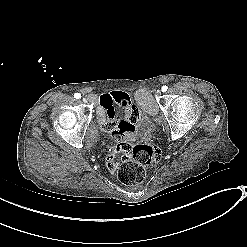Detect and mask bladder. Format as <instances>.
<instances>
[{
	"label": "bladder",
	"mask_w": 247,
	"mask_h": 247,
	"mask_svg": "<svg viewBox=\"0 0 247 247\" xmlns=\"http://www.w3.org/2000/svg\"><path fill=\"white\" fill-rule=\"evenodd\" d=\"M124 110L127 115V122L119 121L118 124L129 127L133 133V138H147L156 130V124L154 122L155 113L144 102L141 94L135 93L132 101L127 104ZM138 112L139 114H137ZM119 141L121 143H127L125 139H120Z\"/></svg>",
	"instance_id": "31cf9c89"
}]
</instances>
